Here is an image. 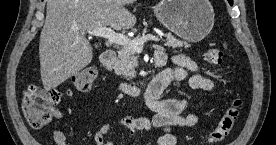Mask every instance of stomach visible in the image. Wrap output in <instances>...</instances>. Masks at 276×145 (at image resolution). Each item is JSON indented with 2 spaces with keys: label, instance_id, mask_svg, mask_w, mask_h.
Wrapping results in <instances>:
<instances>
[{
  "label": "stomach",
  "instance_id": "obj_1",
  "mask_svg": "<svg viewBox=\"0 0 276 145\" xmlns=\"http://www.w3.org/2000/svg\"><path fill=\"white\" fill-rule=\"evenodd\" d=\"M157 19L171 32L190 42H200L214 25L208 0H161L154 8Z\"/></svg>",
  "mask_w": 276,
  "mask_h": 145
}]
</instances>
